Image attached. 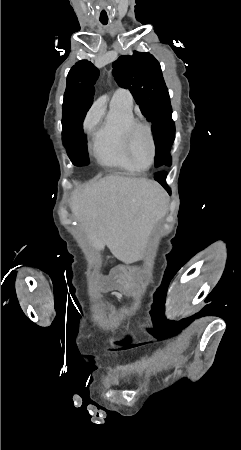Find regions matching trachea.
<instances>
[{"label":"trachea","mask_w":241,"mask_h":450,"mask_svg":"<svg viewBox=\"0 0 241 450\" xmlns=\"http://www.w3.org/2000/svg\"><path fill=\"white\" fill-rule=\"evenodd\" d=\"M103 25H107V22H101Z\"/></svg>","instance_id":"1"}]
</instances>
